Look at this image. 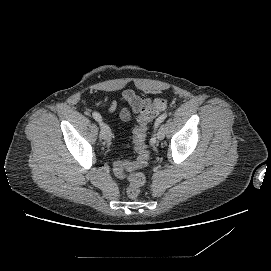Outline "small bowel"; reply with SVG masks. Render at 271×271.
<instances>
[{
    "instance_id": "small-bowel-1",
    "label": "small bowel",
    "mask_w": 271,
    "mask_h": 271,
    "mask_svg": "<svg viewBox=\"0 0 271 271\" xmlns=\"http://www.w3.org/2000/svg\"><path fill=\"white\" fill-rule=\"evenodd\" d=\"M122 99L128 105V107L123 108L121 111V119L125 122L130 119L132 113L138 114L149 105L148 99L142 98L130 90L123 93ZM107 108L110 112H113L116 109V102H109Z\"/></svg>"
}]
</instances>
